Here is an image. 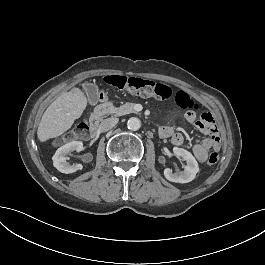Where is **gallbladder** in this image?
Returning a JSON list of instances; mask_svg holds the SVG:
<instances>
[{
  "label": "gallbladder",
  "instance_id": "gallbladder-1",
  "mask_svg": "<svg viewBox=\"0 0 265 265\" xmlns=\"http://www.w3.org/2000/svg\"><path fill=\"white\" fill-rule=\"evenodd\" d=\"M84 90L91 104H96L98 102V88L93 85L90 86L85 85Z\"/></svg>",
  "mask_w": 265,
  "mask_h": 265
}]
</instances>
